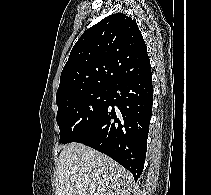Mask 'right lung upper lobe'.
<instances>
[{"instance_id":"1","label":"right lung upper lobe","mask_w":211,"mask_h":195,"mask_svg":"<svg viewBox=\"0 0 211 195\" xmlns=\"http://www.w3.org/2000/svg\"><path fill=\"white\" fill-rule=\"evenodd\" d=\"M150 68L136 21L123 13L107 16L82 34L65 64L57 105L77 94L107 89L121 79Z\"/></svg>"}]
</instances>
